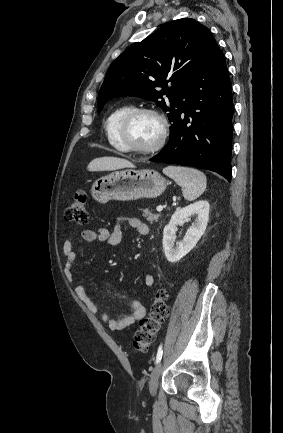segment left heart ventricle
I'll list each match as a JSON object with an SVG mask.
<instances>
[{"mask_svg": "<svg viewBox=\"0 0 283 433\" xmlns=\"http://www.w3.org/2000/svg\"><path fill=\"white\" fill-rule=\"evenodd\" d=\"M162 133V123L152 114H142L134 119L128 131L129 140L138 148H153Z\"/></svg>", "mask_w": 283, "mask_h": 433, "instance_id": "1", "label": "left heart ventricle"}]
</instances>
